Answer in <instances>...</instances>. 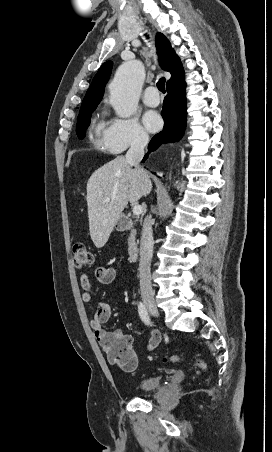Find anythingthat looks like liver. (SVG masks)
Returning <instances> with one entry per match:
<instances>
[{
	"label": "liver",
	"instance_id": "6515ba94",
	"mask_svg": "<svg viewBox=\"0 0 272 452\" xmlns=\"http://www.w3.org/2000/svg\"><path fill=\"white\" fill-rule=\"evenodd\" d=\"M151 187L150 179L146 181L124 156H117L91 175L87 182V206L90 236L97 248L108 241L128 201L136 203Z\"/></svg>",
	"mask_w": 272,
	"mask_h": 452
}]
</instances>
